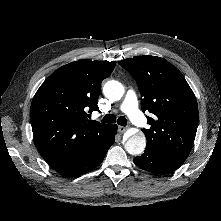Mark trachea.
Returning <instances> with one entry per match:
<instances>
[{"mask_svg":"<svg viewBox=\"0 0 221 221\" xmlns=\"http://www.w3.org/2000/svg\"><path fill=\"white\" fill-rule=\"evenodd\" d=\"M103 123H115L117 122L119 125L121 126H126L127 125V119L124 116H120L117 120H116V116L113 114H107L103 119H102Z\"/></svg>","mask_w":221,"mask_h":221,"instance_id":"3493384b","label":"trachea"}]
</instances>
